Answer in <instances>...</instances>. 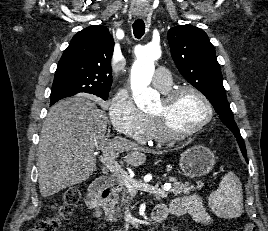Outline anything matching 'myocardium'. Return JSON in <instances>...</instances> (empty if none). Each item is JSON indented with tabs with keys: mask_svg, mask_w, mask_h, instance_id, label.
Here are the masks:
<instances>
[{
	"mask_svg": "<svg viewBox=\"0 0 268 231\" xmlns=\"http://www.w3.org/2000/svg\"><path fill=\"white\" fill-rule=\"evenodd\" d=\"M184 92H191L202 100L206 108V115L193 129L185 132H178L173 128L171 122V109L177 97ZM161 100L162 103L160 109L157 112L152 113V117L155 119L160 131L167 140L181 141L191 138L200 133L213 118V106L210 99L200 89L192 85H179L175 88H170L166 93H163Z\"/></svg>",
	"mask_w": 268,
	"mask_h": 231,
	"instance_id": "f54148a6",
	"label": "myocardium"
}]
</instances>
